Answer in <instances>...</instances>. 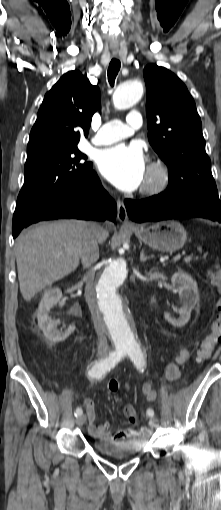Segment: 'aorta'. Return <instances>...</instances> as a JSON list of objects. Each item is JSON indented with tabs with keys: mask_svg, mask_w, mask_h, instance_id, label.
<instances>
[{
	"mask_svg": "<svg viewBox=\"0 0 221 510\" xmlns=\"http://www.w3.org/2000/svg\"><path fill=\"white\" fill-rule=\"evenodd\" d=\"M142 95L141 82H124L114 92V107L119 110L128 109L134 106ZM127 274L125 259H114L105 267L95 285L102 322L117 350L139 347L130 310L119 293L120 287L127 279Z\"/></svg>",
	"mask_w": 221,
	"mask_h": 510,
	"instance_id": "obj_1",
	"label": "aorta"
}]
</instances>
